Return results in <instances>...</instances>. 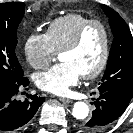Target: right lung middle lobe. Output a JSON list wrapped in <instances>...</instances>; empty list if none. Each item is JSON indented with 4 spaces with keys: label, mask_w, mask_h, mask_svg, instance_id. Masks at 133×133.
I'll return each mask as SVG.
<instances>
[{
    "label": "right lung middle lobe",
    "mask_w": 133,
    "mask_h": 133,
    "mask_svg": "<svg viewBox=\"0 0 133 133\" xmlns=\"http://www.w3.org/2000/svg\"><path fill=\"white\" fill-rule=\"evenodd\" d=\"M24 6L20 2L0 4V88L13 86L23 75L15 48Z\"/></svg>",
    "instance_id": "1"
}]
</instances>
